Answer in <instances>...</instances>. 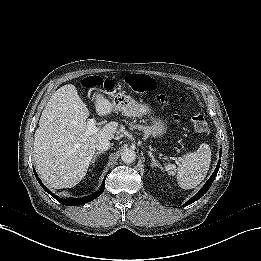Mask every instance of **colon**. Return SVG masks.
Masks as SVG:
<instances>
[{
  "label": "colon",
  "mask_w": 261,
  "mask_h": 261,
  "mask_svg": "<svg viewBox=\"0 0 261 261\" xmlns=\"http://www.w3.org/2000/svg\"><path fill=\"white\" fill-rule=\"evenodd\" d=\"M128 82L135 91L140 93H149L155 90L156 88L155 80L146 74H141V73L131 74L128 77ZM101 84H102L101 80L96 77H89L84 81V87L87 89H93L99 87L101 86ZM156 102L159 105L165 106L168 105V98L167 96L160 94L156 96ZM180 103L185 105L186 99L181 98ZM191 120L194 126L196 127V129H198L199 131L204 132L208 129V124L205 118L201 114L194 113L191 117Z\"/></svg>",
  "instance_id": "1"
}]
</instances>
